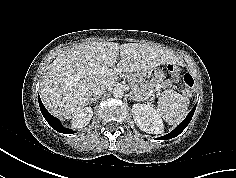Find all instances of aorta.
<instances>
[{"mask_svg":"<svg viewBox=\"0 0 236 178\" xmlns=\"http://www.w3.org/2000/svg\"><path fill=\"white\" fill-rule=\"evenodd\" d=\"M112 94L116 98H122V96L124 95V91L120 87H116L113 89Z\"/></svg>","mask_w":236,"mask_h":178,"instance_id":"obj_1","label":"aorta"}]
</instances>
